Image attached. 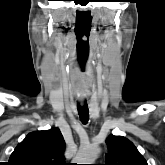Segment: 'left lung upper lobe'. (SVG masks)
Instances as JSON below:
<instances>
[{
	"mask_svg": "<svg viewBox=\"0 0 165 165\" xmlns=\"http://www.w3.org/2000/svg\"><path fill=\"white\" fill-rule=\"evenodd\" d=\"M104 165H148L137 148L123 136L109 135Z\"/></svg>",
	"mask_w": 165,
	"mask_h": 165,
	"instance_id": "5c2ea615",
	"label": "left lung upper lobe"
}]
</instances>
